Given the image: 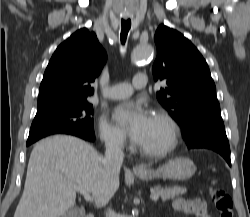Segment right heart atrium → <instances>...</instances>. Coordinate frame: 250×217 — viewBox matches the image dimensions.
I'll list each match as a JSON object with an SVG mask.
<instances>
[{"label": "right heart atrium", "mask_w": 250, "mask_h": 217, "mask_svg": "<svg viewBox=\"0 0 250 217\" xmlns=\"http://www.w3.org/2000/svg\"><path fill=\"white\" fill-rule=\"evenodd\" d=\"M99 137L107 147L124 149L127 144L126 136L122 130L110 123L105 117L99 120Z\"/></svg>", "instance_id": "1"}]
</instances>
